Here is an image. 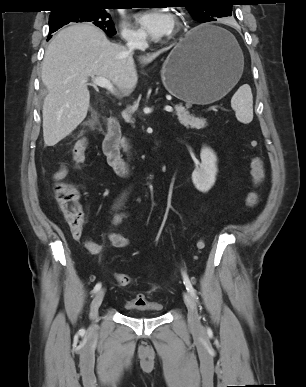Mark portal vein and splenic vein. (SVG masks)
I'll list each match as a JSON object with an SVG mask.
<instances>
[{
    "label": "portal vein and splenic vein",
    "mask_w": 306,
    "mask_h": 387,
    "mask_svg": "<svg viewBox=\"0 0 306 387\" xmlns=\"http://www.w3.org/2000/svg\"><path fill=\"white\" fill-rule=\"evenodd\" d=\"M93 83L99 87H102V88H105L107 89L109 92H111L112 94L115 93V88L113 86V84L106 78H103V77H95L93 78ZM165 111L167 112H173V109L171 106L167 105L165 106ZM202 123L204 124V121H202Z\"/></svg>",
    "instance_id": "1"
}]
</instances>
